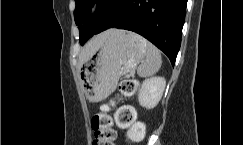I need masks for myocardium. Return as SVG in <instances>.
<instances>
[{"mask_svg": "<svg viewBox=\"0 0 243 145\" xmlns=\"http://www.w3.org/2000/svg\"><path fill=\"white\" fill-rule=\"evenodd\" d=\"M105 7V1L92 0L87 8V13L90 18H94L99 15Z\"/></svg>", "mask_w": 243, "mask_h": 145, "instance_id": "myocardium-1", "label": "myocardium"}]
</instances>
